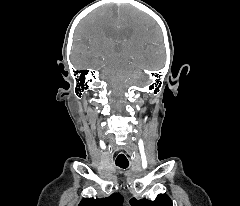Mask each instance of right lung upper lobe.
<instances>
[{"label":"right lung upper lobe","instance_id":"1","mask_svg":"<svg viewBox=\"0 0 240 206\" xmlns=\"http://www.w3.org/2000/svg\"><path fill=\"white\" fill-rule=\"evenodd\" d=\"M122 203V195L113 193L111 196L103 199L84 198L78 206H122Z\"/></svg>","mask_w":240,"mask_h":206}]
</instances>
